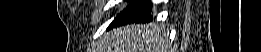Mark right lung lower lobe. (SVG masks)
<instances>
[{
	"mask_svg": "<svg viewBox=\"0 0 261 52\" xmlns=\"http://www.w3.org/2000/svg\"><path fill=\"white\" fill-rule=\"evenodd\" d=\"M151 11V3L143 0L141 2H136L131 4L127 9L118 14L114 21L110 24L111 27H116L122 24H127L131 22L142 23L150 22L153 17L149 13Z\"/></svg>",
	"mask_w": 261,
	"mask_h": 52,
	"instance_id": "right-lung-lower-lobe-1",
	"label": "right lung lower lobe"
}]
</instances>
